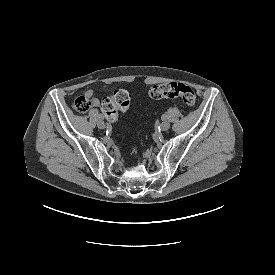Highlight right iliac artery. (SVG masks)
<instances>
[{
	"label": "right iliac artery",
	"instance_id": "82829eb1",
	"mask_svg": "<svg viewBox=\"0 0 275 275\" xmlns=\"http://www.w3.org/2000/svg\"><path fill=\"white\" fill-rule=\"evenodd\" d=\"M98 118L99 119H103V115L102 114H98Z\"/></svg>",
	"mask_w": 275,
	"mask_h": 275
}]
</instances>
